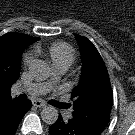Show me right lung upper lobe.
<instances>
[{
  "instance_id": "cb5924a9",
  "label": "right lung upper lobe",
  "mask_w": 135,
  "mask_h": 135,
  "mask_svg": "<svg viewBox=\"0 0 135 135\" xmlns=\"http://www.w3.org/2000/svg\"><path fill=\"white\" fill-rule=\"evenodd\" d=\"M38 39L18 33L0 37V101L11 99V86L20 75L22 52Z\"/></svg>"
}]
</instances>
